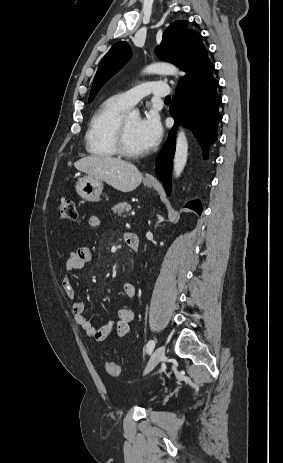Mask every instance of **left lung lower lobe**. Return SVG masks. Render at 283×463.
<instances>
[{
    "label": "left lung lower lobe",
    "instance_id": "obj_1",
    "mask_svg": "<svg viewBox=\"0 0 283 463\" xmlns=\"http://www.w3.org/2000/svg\"><path fill=\"white\" fill-rule=\"evenodd\" d=\"M214 65L207 60L195 66L178 85L169 108L175 125L163 151L157 157L156 175L163 183L167 195L171 192V163L175 151V132L179 123L192 129L201 146L203 158H208L210 146L217 140V126L222 120L218 107L222 101L217 93L219 82L213 77ZM201 214L199 201L186 204Z\"/></svg>",
    "mask_w": 283,
    "mask_h": 463
}]
</instances>
